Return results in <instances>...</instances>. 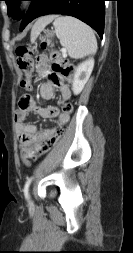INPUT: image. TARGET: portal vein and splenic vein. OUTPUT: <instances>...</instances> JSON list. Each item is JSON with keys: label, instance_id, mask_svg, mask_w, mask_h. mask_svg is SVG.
I'll use <instances>...</instances> for the list:
<instances>
[{"label": "portal vein and splenic vein", "instance_id": "1", "mask_svg": "<svg viewBox=\"0 0 133 253\" xmlns=\"http://www.w3.org/2000/svg\"><path fill=\"white\" fill-rule=\"evenodd\" d=\"M61 51H62L63 55H66V52H67L66 49H62Z\"/></svg>", "mask_w": 133, "mask_h": 253}]
</instances>
